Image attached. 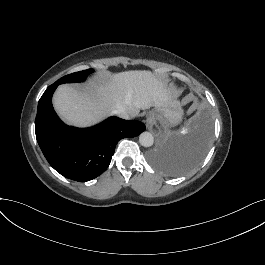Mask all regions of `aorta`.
I'll list each match as a JSON object with an SVG mask.
<instances>
[{"mask_svg": "<svg viewBox=\"0 0 265 265\" xmlns=\"http://www.w3.org/2000/svg\"><path fill=\"white\" fill-rule=\"evenodd\" d=\"M139 142L144 147H150L153 145L154 137L150 132H143L139 136Z\"/></svg>", "mask_w": 265, "mask_h": 265, "instance_id": "aorta-1", "label": "aorta"}]
</instances>
